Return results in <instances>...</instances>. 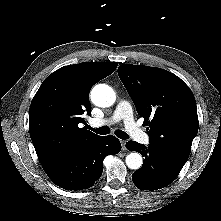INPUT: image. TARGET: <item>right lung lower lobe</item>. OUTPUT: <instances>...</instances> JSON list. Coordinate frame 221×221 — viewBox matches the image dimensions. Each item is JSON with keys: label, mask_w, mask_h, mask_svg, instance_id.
I'll return each instance as SVG.
<instances>
[{"label": "right lung lower lobe", "mask_w": 221, "mask_h": 221, "mask_svg": "<svg viewBox=\"0 0 221 221\" xmlns=\"http://www.w3.org/2000/svg\"><path fill=\"white\" fill-rule=\"evenodd\" d=\"M120 150V141L115 136H99L46 174L63 189H87L101 177L104 158Z\"/></svg>", "instance_id": "98d812e1"}]
</instances>
